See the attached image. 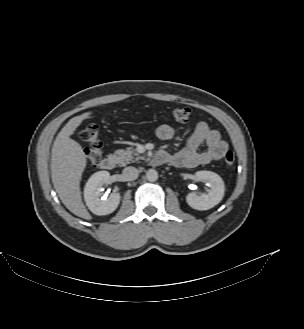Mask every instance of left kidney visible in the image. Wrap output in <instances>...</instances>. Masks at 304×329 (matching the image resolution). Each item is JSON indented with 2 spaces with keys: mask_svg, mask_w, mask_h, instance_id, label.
I'll return each mask as SVG.
<instances>
[{
  "mask_svg": "<svg viewBox=\"0 0 304 329\" xmlns=\"http://www.w3.org/2000/svg\"><path fill=\"white\" fill-rule=\"evenodd\" d=\"M197 181H206L210 187L208 193L202 196L190 193L186 201L190 207L196 210H208L217 205L224 197L225 185L222 178L211 171H198L195 173Z\"/></svg>",
  "mask_w": 304,
  "mask_h": 329,
  "instance_id": "1",
  "label": "left kidney"
}]
</instances>
